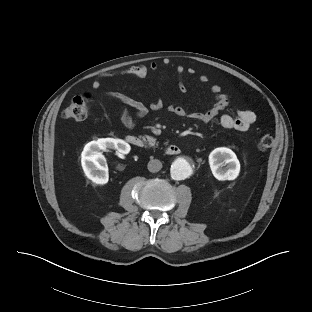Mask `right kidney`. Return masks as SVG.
<instances>
[{"label": "right kidney", "mask_w": 312, "mask_h": 312, "mask_svg": "<svg viewBox=\"0 0 312 312\" xmlns=\"http://www.w3.org/2000/svg\"><path fill=\"white\" fill-rule=\"evenodd\" d=\"M115 149L118 153L128 154L130 145L123 140L102 138L85 145L81 154V164L88 179L96 184L108 182V167L101 150Z\"/></svg>", "instance_id": "ca27d5eb"}]
</instances>
